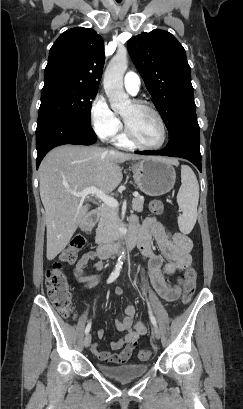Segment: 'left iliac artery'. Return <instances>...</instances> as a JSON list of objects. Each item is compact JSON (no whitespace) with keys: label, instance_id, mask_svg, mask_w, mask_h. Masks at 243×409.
I'll use <instances>...</instances> for the list:
<instances>
[{"label":"left iliac artery","instance_id":"1","mask_svg":"<svg viewBox=\"0 0 243 409\" xmlns=\"http://www.w3.org/2000/svg\"><path fill=\"white\" fill-rule=\"evenodd\" d=\"M143 294L146 296V293H145V291H144V290H143ZM146 301H147V306H148V311H149V317H150V320H151L152 324H153L155 327H157V322H156V319H155V317H154V315H153V312H152V309H151L150 303H149V301H148V299H147V298H146Z\"/></svg>","mask_w":243,"mask_h":409}]
</instances>
